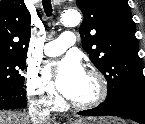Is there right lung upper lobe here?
Listing matches in <instances>:
<instances>
[{"label":"right lung upper lobe","mask_w":145,"mask_h":124,"mask_svg":"<svg viewBox=\"0 0 145 124\" xmlns=\"http://www.w3.org/2000/svg\"><path fill=\"white\" fill-rule=\"evenodd\" d=\"M30 13L24 0L0 2V53L26 57L30 40Z\"/></svg>","instance_id":"1"}]
</instances>
